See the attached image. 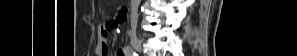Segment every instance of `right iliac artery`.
<instances>
[{
    "instance_id": "1",
    "label": "right iliac artery",
    "mask_w": 297,
    "mask_h": 56,
    "mask_svg": "<svg viewBox=\"0 0 297 56\" xmlns=\"http://www.w3.org/2000/svg\"><path fill=\"white\" fill-rule=\"evenodd\" d=\"M123 51L127 56H136L134 50L129 46H126Z\"/></svg>"
}]
</instances>
